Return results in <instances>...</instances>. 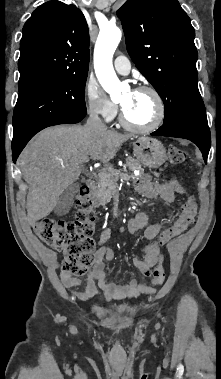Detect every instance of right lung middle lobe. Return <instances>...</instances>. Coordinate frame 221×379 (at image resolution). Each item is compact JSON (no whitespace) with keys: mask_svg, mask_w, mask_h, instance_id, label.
<instances>
[{"mask_svg":"<svg viewBox=\"0 0 221 379\" xmlns=\"http://www.w3.org/2000/svg\"><path fill=\"white\" fill-rule=\"evenodd\" d=\"M86 79L87 75L62 76L19 86L12 143L29 140L69 116H85Z\"/></svg>","mask_w":221,"mask_h":379,"instance_id":"right-lung-middle-lobe-1","label":"right lung middle lobe"}]
</instances>
